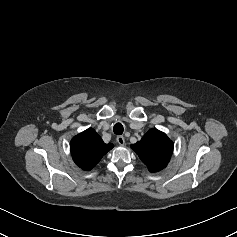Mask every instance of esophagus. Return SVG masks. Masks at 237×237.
Returning <instances> with one entry per match:
<instances>
[{
	"instance_id": "34e87169",
	"label": "esophagus",
	"mask_w": 237,
	"mask_h": 237,
	"mask_svg": "<svg viewBox=\"0 0 237 237\" xmlns=\"http://www.w3.org/2000/svg\"><path fill=\"white\" fill-rule=\"evenodd\" d=\"M116 140H117L119 145H124L125 144V139H124L123 136H117Z\"/></svg>"
}]
</instances>
